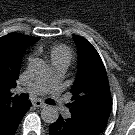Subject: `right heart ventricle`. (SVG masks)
I'll list each match as a JSON object with an SVG mask.
<instances>
[{
	"label": "right heart ventricle",
	"instance_id": "right-heart-ventricle-1",
	"mask_svg": "<svg viewBox=\"0 0 135 135\" xmlns=\"http://www.w3.org/2000/svg\"><path fill=\"white\" fill-rule=\"evenodd\" d=\"M38 51L41 52L42 50L39 48ZM48 57L52 65L61 64L68 67L72 61L73 53L68 46L57 44L49 49Z\"/></svg>",
	"mask_w": 135,
	"mask_h": 135
}]
</instances>
